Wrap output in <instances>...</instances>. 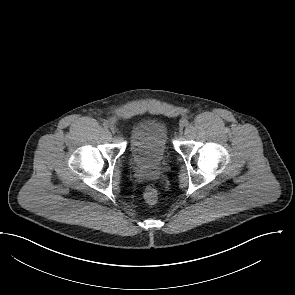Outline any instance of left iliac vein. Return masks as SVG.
Wrapping results in <instances>:
<instances>
[{"label":"left iliac vein","mask_w":295,"mask_h":295,"mask_svg":"<svg viewBox=\"0 0 295 295\" xmlns=\"http://www.w3.org/2000/svg\"><path fill=\"white\" fill-rule=\"evenodd\" d=\"M184 125L181 123L180 124V133H182V129H183Z\"/></svg>","instance_id":"4c4485c4"}]
</instances>
